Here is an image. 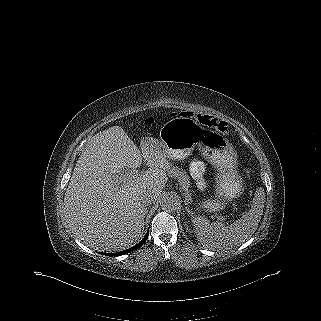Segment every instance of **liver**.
Masks as SVG:
<instances>
[{"instance_id":"6515ba94","label":"liver","mask_w":321,"mask_h":321,"mask_svg":"<svg viewBox=\"0 0 321 321\" xmlns=\"http://www.w3.org/2000/svg\"><path fill=\"white\" fill-rule=\"evenodd\" d=\"M145 161L150 170L133 174ZM173 168L156 147L140 149L120 126L94 135L81 153L64 197L70 229L99 251L124 250L142 237L145 191L159 197Z\"/></svg>"}]
</instances>
